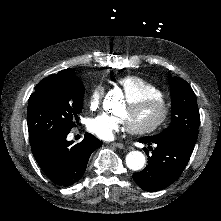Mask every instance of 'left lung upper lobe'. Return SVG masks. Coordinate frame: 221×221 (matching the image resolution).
<instances>
[{"label": "left lung upper lobe", "mask_w": 221, "mask_h": 221, "mask_svg": "<svg viewBox=\"0 0 221 221\" xmlns=\"http://www.w3.org/2000/svg\"><path fill=\"white\" fill-rule=\"evenodd\" d=\"M170 89L171 124L158 135H175L195 144L200 123L196 95L188 82L179 77L170 79Z\"/></svg>", "instance_id": "1"}]
</instances>
